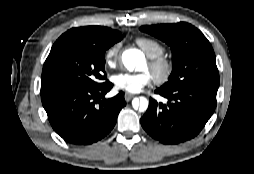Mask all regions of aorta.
<instances>
[{"label":"aorta","instance_id":"obj_1","mask_svg":"<svg viewBox=\"0 0 254 174\" xmlns=\"http://www.w3.org/2000/svg\"><path fill=\"white\" fill-rule=\"evenodd\" d=\"M143 59L142 52L136 49H128L122 54V62L129 71H133ZM132 106L134 109L144 112L148 108V100L145 97L135 98L132 101Z\"/></svg>","mask_w":254,"mask_h":174}]
</instances>
